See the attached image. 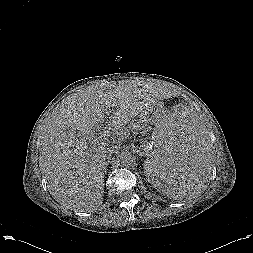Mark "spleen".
Wrapping results in <instances>:
<instances>
[{"label":"spleen","mask_w":253,"mask_h":253,"mask_svg":"<svg viewBox=\"0 0 253 253\" xmlns=\"http://www.w3.org/2000/svg\"><path fill=\"white\" fill-rule=\"evenodd\" d=\"M147 180L173 199L199 195L212 166L210 138L190 111L176 109L158 121L145 145Z\"/></svg>","instance_id":"obj_1"}]
</instances>
